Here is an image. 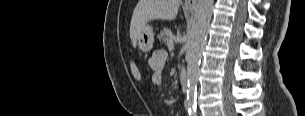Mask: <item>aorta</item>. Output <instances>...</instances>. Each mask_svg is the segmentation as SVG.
Masks as SVG:
<instances>
[{"instance_id":"762f6f07","label":"aorta","mask_w":305,"mask_h":116,"mask_svg":"<svg viewBox=\"0 0 305 116\" xmlns=\"http://www.w3.org/2000/svg\"><path fill=\"white\" fill-rule=\"evenodd\" d=\"M214 0H199L195 9L187 53V101L195 111L198 70L213 13Z\"/></svg>"}]
</instances>
